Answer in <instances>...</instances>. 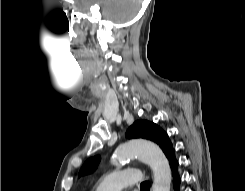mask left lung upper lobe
<instances>
[{"instance_id": "1", "label": "left lung upper lobe", "mask_w": 245, "mask_h": 191, "mask_svg": "<svg viewBox=\"0 0 245 191\" xmlns=\"http://www.w3.org/2000/svg\"><path fill=\"white\" fill-rule=\"evenodd\" d=\"M126 137L129 139L144 138L157 143L167 158L173 151V145L171 144L167 133L153 122L146 120L134 122L127 130ZM99 161V156L88 159L82 166L79 176L91 173Z\"/></svg>"}]
</instances>
